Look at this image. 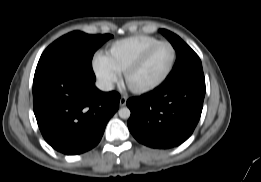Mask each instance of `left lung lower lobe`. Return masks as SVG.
<instances>
[{"label": "left lung lower lobe", "instance_id": "left-lung-lower-lobe-1", "mask_svg": "<svg viewBox=\"0 0 261 182\" xmlns=\"http://www.w3.org/2000/svg\"><path fill=\"white\" fill-rule=\"evenodd\" d=\"M204 96L205 78L199 75L130 98L128 128L146 146L163 149L178 146L194 131Z\"/></svg>", "mask_w": 261, "mask_h": 182}]
</instances>
